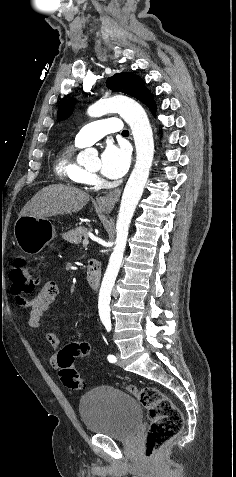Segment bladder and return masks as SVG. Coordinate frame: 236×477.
I'll return each instance as SVG.
<instances>
[{
	"mask_svg": "<svg viewBox=\"0 0 236 477\" xmlns=\"http://www.w3.org/2000/svg\"><path fill=\"white\" fill-rule=\"evenodd\" d=\"M79 413L86 430L118 440L134 437L141 422V405L113 386H99L83 396Z\"/></svg>",
	"mask_w": 236,
	"mask_h": 477,
	"instance_id": "bladder-1",
	"label": "bladder"
}]
</instances>
